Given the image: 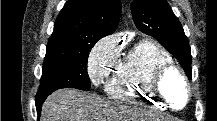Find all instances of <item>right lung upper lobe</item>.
Returning a JSON list of instances; mask_svg holds the SVG:
<instances>
[{"label": "right lung upper lobe", "mask_w": 217, "mask_h": 121, "mask_svg": "<svg viewBox=\"0 0 217 121\" xmlns=\"http://www.w3.org/2000/svg\"><path fill=\"white\" fill-rule=\"evenodd\" d=\"M120 14V0H68L55 21L49 40H99L115 32Z\"/></svg>", "instance_id": "cb5924a9"}]
</instances>
